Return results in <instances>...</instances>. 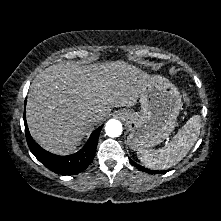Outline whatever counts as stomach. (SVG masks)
Segmentation results:
<instances>
[{
  "label": "stomach",
  "instance_id": "stomach-1",
  "mask_svg": "<svg viewBox=\"0 0 221 221\" xmlns=\"http://www.w3.org/2000/svg\"><path fill=\"white\" fill-rule=\"evenodd\" d=\"M140 112L122 110V120L130 134L127 138L133 150H145L163 142L174 130L182 109L177 87L162 76L149 77L142 85Z\"/></svg>",
  "mask_w": 221,
  "mask_h": 221
}]
</instances>
